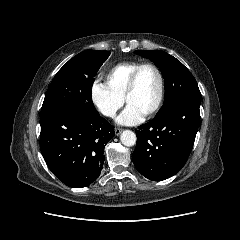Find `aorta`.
Returning <instances> with one entry per match:
<instances>
[{"label": "aorta", "mask_w": 240, "mask_h": 240, "mask_svg": "<svg viewBox=\"0 0 240 240\" xmlns=\"http://www.w3.org/2000/svg\"><path fill=\"white\" fill-rule=\"evenodd\" d=\"M120 141L127 147L134 146L136 143V135L131 130H124L120 135Z\"/></svg>", "instance_id": "762f6f07"}]
</instances>
